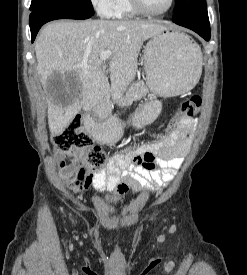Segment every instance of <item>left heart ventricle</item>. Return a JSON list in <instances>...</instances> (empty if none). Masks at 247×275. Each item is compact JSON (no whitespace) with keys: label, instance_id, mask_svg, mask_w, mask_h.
Here are the masks:
<instances>
[{"label":"left heart ventricle","instance_id":"left-heart-ventricle-1","mask_svg":"<svg viewBox=\"0 0 247 275\" xmlns=\"http://www.w3.org/2000/svg\"><path fill=\"white\" fill-rule=\"evenodd\" d=\"M145 5L152 11H162L166 9L170 0H143Z\"/></svg>","mask_w":247,"mask_h":275}]
</instances>
